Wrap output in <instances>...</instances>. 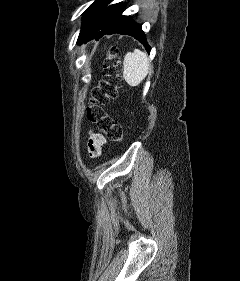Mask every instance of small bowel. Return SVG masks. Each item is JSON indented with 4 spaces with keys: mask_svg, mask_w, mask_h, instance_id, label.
<instances>
[{
    "mask_svg": "<svg viewBox=\"0 0 240 281\" xmlns=\"http://www.w3.org/2000/svg\"><path fill=\"white\" fill-rule=\"evenodd\" d=\"M106 143L107 140L101 133L91 131L87 139V149L90 157H99L101 155L102 148L106 145Z\"/></svg>",
    "mask_w": 240,
    "mask_h": 281,
    "instance_id": "c3829d8e",
    "label": "small bowel"
}]
</instances>
